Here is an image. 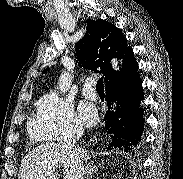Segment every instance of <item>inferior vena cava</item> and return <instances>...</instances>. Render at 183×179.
<instances>
[{
  "label": "inferior vena cava",
  "mask_w": 183,
  "mask_h": 179,
  "mask_svg": "<svg viewBox=\"0 0 183 179\" xmlns=\"http://www.w3.org/2000/svg\"><path fill=\"white\" fill-rule=\"evenodd\" d=\"M83 134L82 128H75L68 132L59 142L61 149L70 153L73 158V164L75 169V179H84V165L80 155L79 149L76 147V141Z\"/></svg>",
  "instance_id": "inferior-vena-cava-1"
}]
</instances>
